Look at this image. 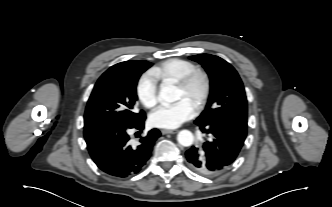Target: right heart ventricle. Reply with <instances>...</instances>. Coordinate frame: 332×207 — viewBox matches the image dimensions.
Returning a JSON list of instances; mask_svg holds the SVG:
<instances>
[{
  "label": "right heart ventricle",
  "instance_id": "e07e8e85",
  "mask_svg": "<svg viewBox=\"0 0 332 207\" xmlns=\"http://www.w3.org/2000/svg\"><path fill=\"white\" fill-rule=\"evenodd\" d=\"M195 68V64L191 61L180 58H171L154 67L151 70V74L157 80H171L177 82Z\"/></svg>",
  "mask_w": 332,
  "mask_h": 207
}]
</instances>
